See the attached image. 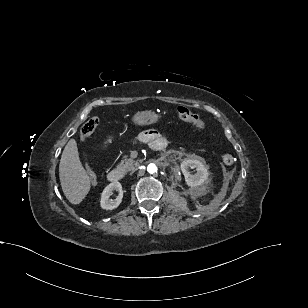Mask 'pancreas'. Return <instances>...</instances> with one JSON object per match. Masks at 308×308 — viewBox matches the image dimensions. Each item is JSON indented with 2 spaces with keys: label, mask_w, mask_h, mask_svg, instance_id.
<instances>
[{
  "label": "pancreas",
  "mask_w": 308,
  "mask_h": 308,
  "mask_svg": "<svg viewBox=\"0 0 308 308\" xmlns=\"http://www.w3.org/2000/svg\"><path fill=\"white\" fill-rule=\"evenodd\" d=\"M139 165V162L133 160L132 158H125L121 160L120 164L118 165V168H120L123 171H131L134 170L135 167Z\"/></svg>",
  "instance_id": "obj_1"
}]
</instances>
